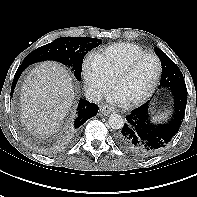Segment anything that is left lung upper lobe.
<instances>
[{"instance_id": "5c2ea615", "label": "left lung upper lobe", "mask_w": 197, "mask_h": 197, "mask_svg": "<svg viewBox=\"0 0 197 197\" xmlns=\"http://www.w3.org/2000/svg\"><path fill=\"white\" fill-rule=\"evenodd\" d=\"M162 64L161 87L174 89L175 87H185L184 77L178 66L159 48H155Z\"/></svg>"}]
</instances>
